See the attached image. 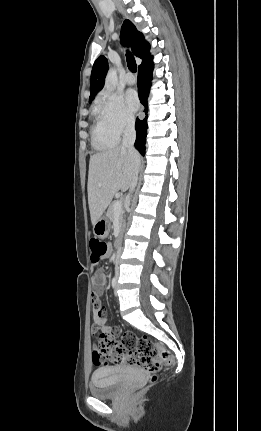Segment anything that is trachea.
<instances>
[{
    "mask_svg": "<svg viewBox=\"0 0 261 431\" xmlns=\"http://www.w3.org/2000/svg\"><path fill=\"white\" fill-rule=\"evenodd\" d=\"M126 59H127V65L128 68L131 72L135 73L137 71V65H136V61L135 58L133 57V55L131 53H127L126 54Z\"/></svg>",
    "mask_w": 261,
    "mask_h": 431,
    "instance_id": "1",
    "label": "trachea"
}]
</instances>
